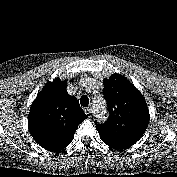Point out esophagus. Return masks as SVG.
Segmentation results:
<instances>
[{
	"mask_svg": "<svg viewBox=\"0 0 177 177\" xmlns=\"http://www.w3.org/2000/svg\"><path fill=\"white\" fill-rule=\"evenodd\" d=\"M84 111H85V113L88 114V115L92 114V109H91L90 107H85V108H84Z\"/></svg>",
	"mask_w": 177,
	"mask_h": 177,
	"instance_id": "1",
	"label": "esophagus"
}]
</instances>
